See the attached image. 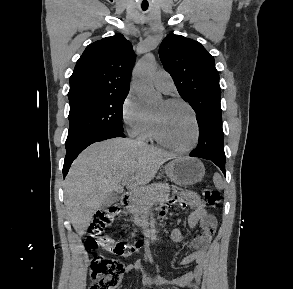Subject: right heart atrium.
Segmentation results:
<instances>
[{
  "instance_id": "d8ad5b80",
  "label": "right heart atrium",
  "mask_w": 293,
  "mask_h": 289,
  "mask_svg": "<svg viewBox=\"0 0 293 289\" xmlns=\"http://www.w3.org/2000/svg\"><path fill=\"white\" fill-rule=\"evenodd\" d=\"M121 118L127 132L131 136H139L150 119L140 100L132 93H128L121 107Z\"/></svg>"
}]
</instances>
